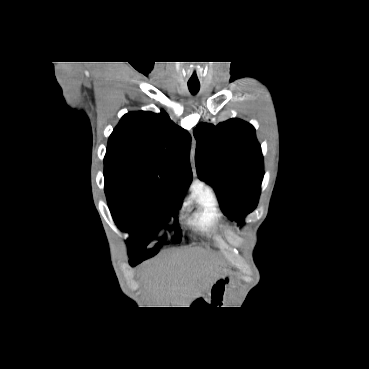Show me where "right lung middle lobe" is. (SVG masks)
Listing matches in <instances>:
<instances>
[{"label":"right lung middle lobe","instance_id":"obj_1","mask_svg":"<svg viewBox=\"0 0 369 369\" xmlns=\"http://www.w3.org/2000/svg\"><path fill=\"white\" fill-rule=\"evenodd\" d=\"M105 194L112 217L117 226L128 232L131 239L127 241L131 261L139 263L158 253L163 239L152 249L148 243L162 229L171 215L178 223V209L182 202L161 191L150 190L140 186L132 178L120 175H104ZM171 230L170 227H167ZM181 241V232L175 228L173 242Z\"/></svg>","mask_w":369,"mask_h":369}]
</instances>
